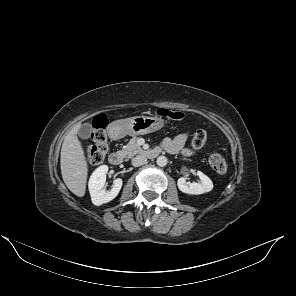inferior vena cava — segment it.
<instances>
[{
  "mask_svg": "<svg viewBox=\"0 0 296 296\" xmlns=\"http://www.w3.org/2000/svg\"><path fill=\"white\" fill-rule=\"evenodd\" d=\"M131 163L133 166L138 167L147 163V158L143 155H137L132 159Z\"/></svg>",
  "mask_w": 296,
  "mask_h": 296,
  "instance_id": "602c4592",
  "label": "inferior vena cava"
}]
</instances>
